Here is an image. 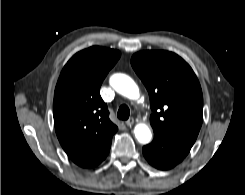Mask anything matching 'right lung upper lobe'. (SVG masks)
I'll return each mask as SVG.
<instances>
[{
    "mask_svg": "<svg viewBox=\"0 0 245 195\" xmlns=\"http://www.w3.org/2000/svg\"><path fill=\"white\" fill-rule=\"evenodd\" d=\"M120 56L117 50L90 47L76 53L58 79L53 103L56 134L69 158L81 167L101 163L118 130L99 89Z\"/></svg>",
    "mask_w": 245,
    "mask_h": 195,
    "instance_id": "right-lung-upper-lobe-1",
    "label": "right lung upper lobe"
}]
</instances>
